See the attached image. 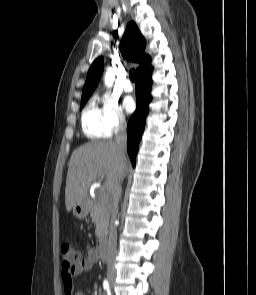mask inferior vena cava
<instances>
[{
	"label": "inferior vena cava",
	"instance_id": "inferior-vena-cava-1",
	"mask_svg": "<svg viewBox=\"0 0 256 295\" xmlns=\"http://www.w3.org/2000/svg\"><path fill=\"white\" fill-rule=\"evenodd\" d=\"M127 126L123 118L120 119L119 124L115 128V140L119 150L120 164L119 171H117V178L110 190L112 197V206L110 207V226L109 237L107 242V261L108 271L114 272V258L117 247V230L115 226V220L118 212V204L121 198V180L128 174V167H130L129 159H126V134Z\"/></svg>",
	"mask_w": 256,
	"mask_h": 295
}]
</instances>
